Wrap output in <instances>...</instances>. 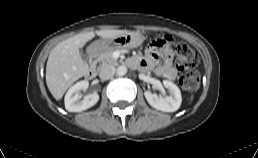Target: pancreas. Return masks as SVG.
<instances>
[{"mask_svg":"<svg viewBox=\"0 0 258 158\" xmlns=\"http://www.w3.org/2000/svg\"><path fill=\"white\" fill-rule=\"evenodd\" d=\"M118 49H110L105 51L101 57L99 58V62L101 63L100 66L104 67V66H116L118 64L117 60L113 58L112 54L114 51H116Z\"/></svg>","mask_w":258,"mask_h":158,"instance_id":"1","label":"pancreas"}]
</instances>
